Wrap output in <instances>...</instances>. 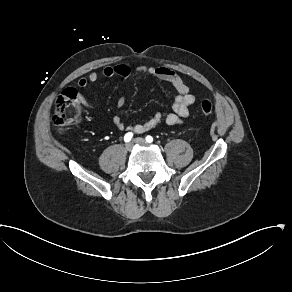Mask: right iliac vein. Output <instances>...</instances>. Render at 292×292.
Wrapping results in <instances>:
<instances>
[{
  "mask_svg": "<svg viewBox=\"0 0 292 292\" xmlns=\"http://www.w3.org/2000/svg\"><path fill=\"white\" fill-rule=\"evenodd\" d=\"M125 148H126V150L129 151V152L132 151L133 148H134V142H129V143H127L126 146H125Z\"/></svg>",
  "mask_w": 292,
  "mask_h": 292,
  "instance_id": "63e3f726",
  "label": "right iliac vein"
}]
</instances>
